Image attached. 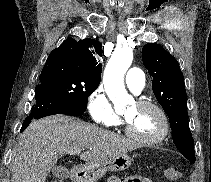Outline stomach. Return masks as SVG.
<instances>
[{
    "instance_id": "0dacf381",
    "label": "stomach",
    "mask_w": 211,
    "mask_h": 182,
    "mask_svg": "<svg viewBox=\"0 0 211 182\" xmlns=\"http://www.w3.org/2000/svg\"><path fill=\"white\" fill-rule=\"evenodd\" d=\"M130 166L131 157L127 154H122L115 158L83 165L72 174V177L74 182H97L108 171L120 172L128 169Z\"/></svg>"
}]
</instances>
